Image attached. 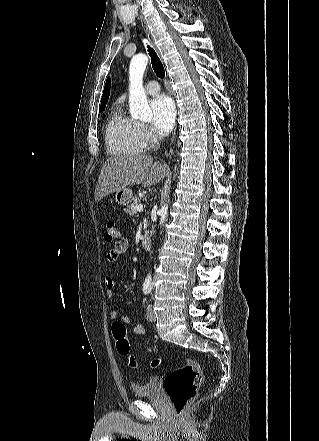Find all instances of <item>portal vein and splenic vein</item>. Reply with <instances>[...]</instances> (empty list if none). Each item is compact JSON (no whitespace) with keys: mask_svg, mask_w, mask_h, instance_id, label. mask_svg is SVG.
<instances>
[{"mask_svg":"<svg viewBox=\"0 0 319 441\" xmlns=\"http://www.w3.org/2000/svg\"><path fill=\"white\" fill-rule=\"evenodd\" d=\"M143 210V204H139L136 206V211L141 212Z\"/></svg>","mask_w":319,"mask_h":441,"instance_id":"1","label":"portal vein and splenic vein"}]
</instances>
